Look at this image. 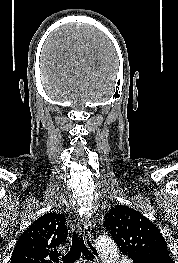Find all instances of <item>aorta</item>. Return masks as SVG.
Masks as SVG:
<instances>
[{
    "label": "aorta",
    "instance_id": "1",
    "mask_svg": "<svg viewBox=\"0 0 178 263\" xmlns=\"http://www.w3.org/2000/svg\"><path fill=\"white\" fill-rule=\"evenodd\" d=\"M95 242L100 251L102 263H117L119 257L118 247L110 237L99 236Z\"/></svg>",
    "mask_w": 178,
    "mask_h": 263
}]
</instances>
